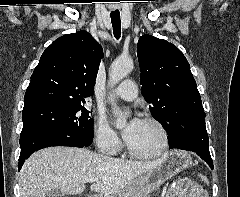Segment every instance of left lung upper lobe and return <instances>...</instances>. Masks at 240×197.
I'll list each match as a JSON object with an SVG mask.
<instances>
[{
    "mask_svg": "<svg viewBox=\"0 0 240 197\" xmlns=\"http://www.w3.org/2000/svg\"><path fill=\"white\" fill-rule=\"evenodd\" d=\"M137 55L142 94L153 117L169 133L173 118L202 105L190 65L175 45L148 34L140 37Z\"/></svg>",
    "mask_w": 240,
    "mask_h": 197,
    "instance_id": "1",
    "label": "left lung upper lobe"
}]
</instances>
